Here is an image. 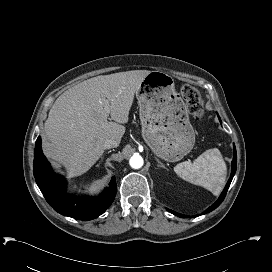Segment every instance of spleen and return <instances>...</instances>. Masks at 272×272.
Here are the masks:
<instances>
[{"label": "spleen", "mask_w": 272, "mask_h": 272, "mask_svg": "<svg viewBox=\"0 0 272 272\" xmlns=\"http://www.w3.org/2000/svg\"><path fill=\"white\" fill-rule=\"evenodd\" d=\"M183 180L202 186L214 195H219L226 180V164L216 148L203 152L193 162L185 161L174 167Z\"/></svg>", "instance_id": "1"}]
</instances>
